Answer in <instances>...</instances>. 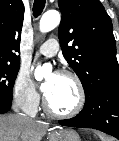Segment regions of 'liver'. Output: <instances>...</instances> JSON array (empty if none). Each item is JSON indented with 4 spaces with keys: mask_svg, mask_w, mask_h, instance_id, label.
<instances>
[{
    "mask_svg": "<svg viewBox=\"0 0 119 141\" xmlns=\"http://www.w3.org/2000/svg\"><path fill=\"white\" fill-rule=\"evenodd\" d=\"M49 124L21 115H0V141H40Z\"/></svg>",
    "mask_w": 119,
    "mask_h": 141,
    "instance_id": "liver-1",
    "label": "liver"
}]
</instances>
